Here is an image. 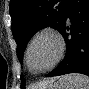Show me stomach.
<instances>
[{
  "label": "stomach",
  "mask_w": 89,
  "mask_h": 89,
  "mask_svg": "<svg viewBox=\"0 0 89 89\" xmlns=\"http://www.w3.org/2000/svg\"><path fill=\"white\" fill-rule=\"evenodd\" d=\"M46 89H67V86L62 81H59V82H56V83L50 85Z\"/></svg>",
  "instance_id": "obj_1"
}]
</instances>
